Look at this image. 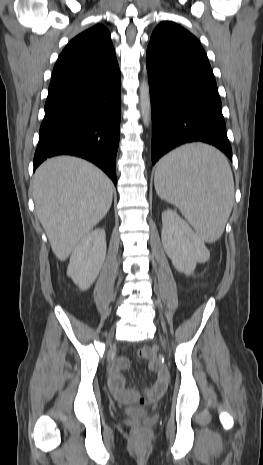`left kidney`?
Returning a JSON list of instances; mask_svg holds the SVG:
<instances>
[{
    "label": "left kidney",
    "mask_w": 263,
    "mask_h": 465,
    "mask_svg": "<svg viewBox=\"0 0 263 465\" xmlns=\"http://www.w3.org/2000/svg\"><path fill=\"white\" fill-rule=\"evenodd\" d=\"M161 239L173 266L181 273L191 275L197 263L209 259L210 254L203 240L171 209L162 213Z\"/></svg>",
    "instance_id": "left-kidney-1"
}]
</instances>
